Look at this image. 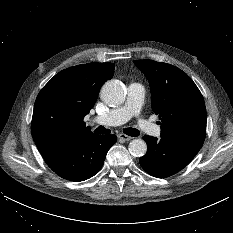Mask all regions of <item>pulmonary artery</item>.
I'll use <instances>...</instances> for the list:
<instances>
[{"mask_svg":"<svg viewBox=\"0 0 233 233\" xmlns=\"http://www.w3.org/2000/svg\"><path fill=\"white\" fill-rule=\"evenodd\" d=\"M145 98V88L140 83H131L128 87V94L123 105L109 110L106 113L97 115L94 120L103 125H120L132 117H136L141 110ZM140 130L151 136H159L161 130L158 126L148 120L138 121Z\"/></svg>","mask_w":233,"mask_h":233,"instance_id":"e3ab8cb5","label":"pulmonary artery"}]
</instances>
